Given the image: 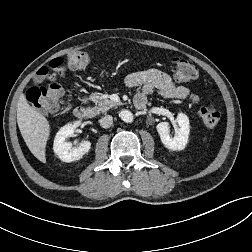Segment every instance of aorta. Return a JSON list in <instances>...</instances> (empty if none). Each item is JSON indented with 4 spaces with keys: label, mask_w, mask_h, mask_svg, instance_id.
I'll return each instance as SVG.
<instances>
[{
    "label": "aorta",
    "mask_w": 252,
    "mask_h": 252,
    "mask_svg": "<svg viewBox=\"0 0 252 252\" xmlns=\"http://www.w3.org/2000/svg\"><path fill=\"white\" fill-rule=\"evenodd\" d=\"M119 116L120 118L124 121V122H127V123H130L133 121V114L128 111V110H122L120 113H119Z\"/></svg>",
    "instance_id": "aorta-1"
}]
</instances>
